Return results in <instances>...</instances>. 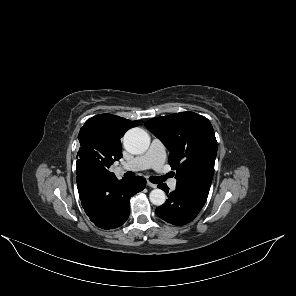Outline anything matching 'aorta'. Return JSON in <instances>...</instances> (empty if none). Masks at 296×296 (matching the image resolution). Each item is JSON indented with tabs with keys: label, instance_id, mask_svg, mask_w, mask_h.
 Instances as JSON below:
<instances>
[{
	"label": "aorta",
	"instance_id": "obj_1",
	"mask_svg": "<svg viewBox=\"0 0 296 296\" xmlns=\"http://www.w3.org/2000/svg\"><path fill=\"white\" fill-rule=\"evenodd\" d=\"M125 149L132 154L145 152L150 145L148 133L141 128L129 129L123 138ZM150 202L156 206H161L166 201V194L161 189H154L149 194Z\"/></svg>",
	"mask_w": 296,
	"mask_h": 296
}]
</instances>
